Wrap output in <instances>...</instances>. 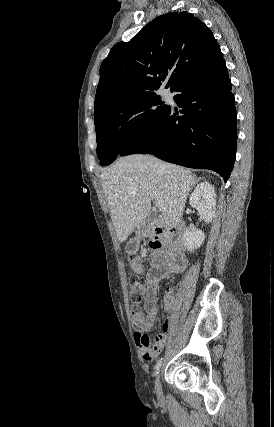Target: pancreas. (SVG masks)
I'll return each instance as SVG.
<instances>
[{"mask_svg":"<svg viewBox=\"0 0 274 427\" xmlns=\"http://www.w3.org/2000/svg\"><path fill=\"white\" fill-rule=\"evenodd\" d=\"M150 235H155V231H153V229H152Z\"/></svg>","mask_w":274,"mask_h":427,"instance_id":"obj_1","label":"pancreas"}]
</instances>
